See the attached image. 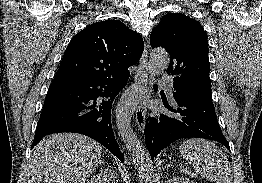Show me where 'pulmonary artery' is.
Instances as JSON below:
<instances>
[{
	"label": "pulmonary artery",
	"mask_w": 262,
	"mask_h": 183,
	"mask_svg": "<svg viewBox=\"0 0 262 183\" xmlns=\"http://www.w3.org/2000/svg\"><path fill=\"white\" fill-rule=\"evenodd\" d=\"M161 82L166 86L170 96L173 95V83L170 78L168 77H162Z\"/></svg>",
	"instance_id": "obj_1"
}]
</instances>
